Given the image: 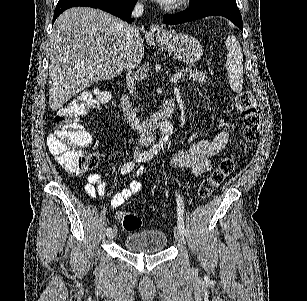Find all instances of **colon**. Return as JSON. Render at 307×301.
<instances>
[{
	"instance_id": "colon-1",
	"label": "colon",
	"mask_w": 307,
	"mask_h": 301,
	"mask_svg": "<svg viewBox=\"0 0 307 301\" xmlns=\"http://www.w3.org/2000/svg\"><path fill=\"white\" fill-rule=\"evenodd\" d=\"M107 98L108 95L104 92H85L57 111V128L49 135L48 145L58 162L70 173L79 174L93 169L99 161L96 154L84 149L91 144L92 137L81 120ZM235 105L242 117V142L245 145L252 144L257 141L260 133L256 100L250 91H242L237 95ZM234 167V156L221 159L217 167L200 184L199 197L209 198L233 172ZM117 218L126 231H135L142 225L141 219L130 212H119Z\"/></svg>"
}]
</instances>
